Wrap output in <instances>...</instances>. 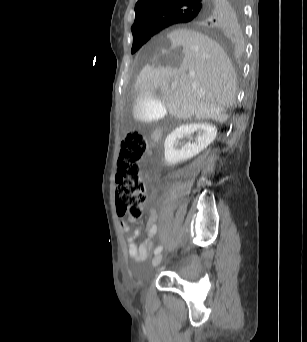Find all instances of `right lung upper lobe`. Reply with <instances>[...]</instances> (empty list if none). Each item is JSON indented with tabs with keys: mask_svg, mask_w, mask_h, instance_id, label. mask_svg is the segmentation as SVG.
<instances>
[{
	"mask_svg": "<svg viewBox=\"0 0 307 342\" xmlns=\"http://www.w3.org/2000/svg\"><path fill=\"white\" fill-rule=\"evenodd\" d=\"M233 0H138L135 5V21L132 34L151 30H162L178 23H169L171 15L184 10H194L196 14L189 22L197 30L225 39L231 32V11Z\"/></svg>",
	"mask_w": 307,
	"mask_h": 342,
	"instance_id": "cb5924a9",
	"label": "right lung upper lobe"
}]
</instances>
